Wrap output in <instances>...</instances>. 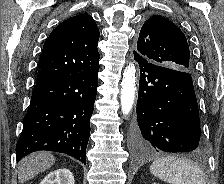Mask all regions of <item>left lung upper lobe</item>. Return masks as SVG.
Instances as JSON below:
<instances>
[{"label": "left lung upper lobe", "instance_id": "5c2ea615", "mask_svg": "<svg viewBox=\"0 0 224 184\" xmlns=\"http://www.w3.org/2000/svg\"><path fill=\"white\" fill-rule=\"evenodd\" d=\"M134 55L169 69L188 73L193 70L185 35L177 25L164 17L153 16L144 23Z\"/></svg>", "mask_w": 224, "mask_h": 184}]
</instances>
